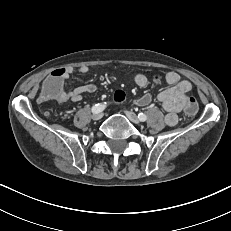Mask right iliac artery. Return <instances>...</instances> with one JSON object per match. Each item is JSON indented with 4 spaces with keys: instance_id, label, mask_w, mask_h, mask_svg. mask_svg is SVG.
Wrapping results in <instances>:
<instances>
[{
    "instance_id": "right-iliac-artery-1",
    "label": "right iliac artery",
    "mask_w": 231,
    "mask_h": 231,
    "mask_svg": "<svg viewBox=\"0 0 231 231\" xmlns=\"http://www.w3.org/2000/svg\"><path fill=\"white\" fill-rule=\"evenodd\" d=\"M105 107H106V102L95 104L91 108V111H92V113H100V112H102L105 109Z\"/></svg>"
}]
</instances>
